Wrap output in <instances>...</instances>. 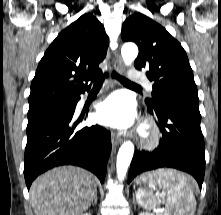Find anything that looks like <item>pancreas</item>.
Here are the masks:
<instances>
[{"instance_id":"cf45deb5","label":"pancreas","mask_w":221,"mask_h":215,"mask_svg":"<svg viewBox=\"0 0 221 215\" xmlns=\"http://www.w3.org/2000/svg\"><path fill=\"white\" fill-rule=\"evenodd\" d=\"M159 215H170V212L169 211L160 212Z\"/></svg>"}]
</instances>
